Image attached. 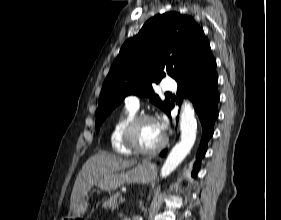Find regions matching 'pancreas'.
<instances>
[{
	"label": "pancreas",
	"instance_id": "pancreas-1",
	"mask_svg": "<svg viewBox=\"0 0 281 220\" xmlns=\"http://www.w3.org/2000/svg\"><path fill=\"white\" fill-rule=\"evenodd\" d=\"M121 197L122 196L120 192L115 193L114 195L110 196V198L107 201L103 203V207L112 210L116 209L118 207V201L120 200Z\"/></svg>",
	"mask_w": 281,
	"mask_h": 220
}]
</instances>
